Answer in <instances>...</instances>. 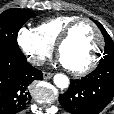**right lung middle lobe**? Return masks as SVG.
I'll list each match as a JSON object with an SVG mask.
<instances>
[{"mask_svg": "<svg viewBox=\"0 0 114 114\" xmlns=\"http://www.w3.org/2000/svg\"><path fill=\"white\" fill-rule=\"evenodd\" d=\"M32 17L34 15L25 9H9L0 14V55L23 56L17 35L22 25Z\"/></svg>", "mask_w": 114, "mask_h": 114, "instance_id": "obj_1", "label": "right lung middle lobe"}]
</instances>
